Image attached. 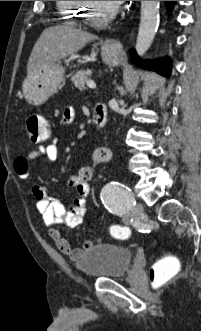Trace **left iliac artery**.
<instances>
[{"label": "left iliac artery", "instance_id": "left-iliac-artery-1", "mask_svg": "<svg viewBox=\"0 0 201 331\" xmlns=\"http://www.w3.org/2000/svg\"><path fill=\"white\" fill-rule=\"evenodd\" d=\"M101 200L106 209L117 216H126L136 204L130 188L118 182L103 187Z\"/></svg>", "mask_w": 201, "mask_h": 331}]
</instances>
